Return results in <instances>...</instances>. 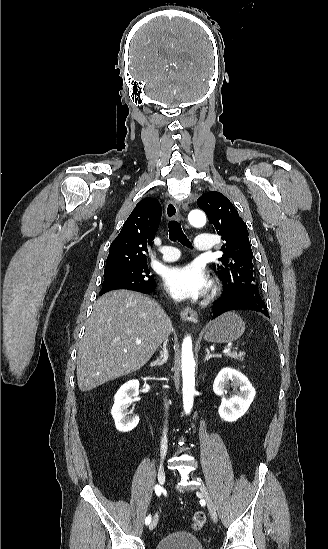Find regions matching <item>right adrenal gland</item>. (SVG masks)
Masks as SVG:
<instances>
[{
	"label": "right adrenal gland",
	"instance_id": "obj_1",
	"mask_svg": "<svg viewBox=\"0 0 328 549\" xmlns=\"http://www.w3.org/2000/svg\"><path fill=\"white\" fill-rule=\"evenodd\" d=\"M167 343H164L163 345V351H160V357L155 361L156 365H163V363H166L168 359V351L166 349Z\"/></svg>",
	"mask_w": 328,
	"mask_h": 549
}]
</instances>
